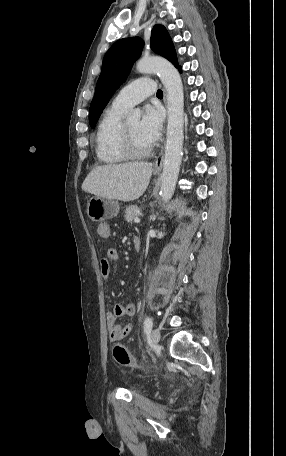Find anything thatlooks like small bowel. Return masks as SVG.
Returning a JSON list of instances; mask_svg holds the SVG:
<instances>
[{"instance_id": "1", "label": "small bowel", "mask_w": 286, "mask_h": 456, "mask_svg": "<svg viewBox=\"0 0 286 456\" xmlns=\"http://www.w3.org/2000/svg\"><path fill=\"white\" fill-rule=\"evenodd\" d=\"M97 233L102 238H108L111 235V228L107 223H101L97 227ZM118 258V251L115 248L108 249L101 258L99 268L101 275L105 280L109 279L111 263L117 261ZM135 311V305L132 303H118L107 313L106 323L111 341H120L130 334L132 329L131 324H117V319L124 316L131 317L135 314Z\"/></svg>"}]
</instances>
